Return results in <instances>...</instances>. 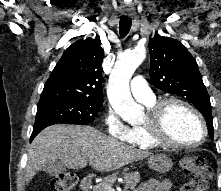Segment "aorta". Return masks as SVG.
<instances>
[{"label": "aorta", "instance_id": "762f6f07", "mask_svg": "<svg viewBox=\"0 0 221 191\" xmlns=\"http://www.w3.org/2000/svg\"><path fill=\"white\" fill-rule=\"evenodd\" d=\"M145 57L146 50L141 47L123 53L117 58L109 79L107 89L109 101L115 112L129 123L136 122L143 116L142 106L131 96L129 81Z\"/></svg>", "mask_w": 221, "mask_h": 191}]
</instances>
